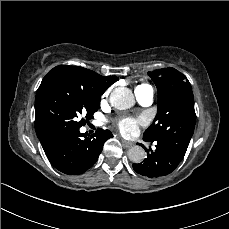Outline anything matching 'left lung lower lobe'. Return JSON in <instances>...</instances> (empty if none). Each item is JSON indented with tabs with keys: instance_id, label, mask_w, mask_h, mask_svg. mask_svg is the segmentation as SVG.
<instances>
[{
	"instance_id": "0a47b994",
	"label": "left lung lower lobe",
	"mask_w": 229,
	"mask_h": 229,
	"mask_svg": "<svg viewBox=\"0 0 229 229\" xmlns=\"http://www.w3.org/2000/svg\"><path fill=\"white\" fill-rule=\"evenodd\" d=\"M146 142H150L144 139ZM156 150L149 153L143 163L133 164V169L149 178L161 177L170 174L182 161L185 154L172 148L167 143L156 142ZM144 147L142 144H139ZM146 150V149H145Z\"/></svg>"
}]
</instances>
